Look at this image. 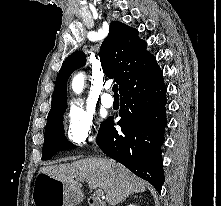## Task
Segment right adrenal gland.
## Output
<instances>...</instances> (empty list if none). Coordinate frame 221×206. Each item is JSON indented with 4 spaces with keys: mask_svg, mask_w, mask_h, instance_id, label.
<instances>
[{
    "mask_svg": "<svg viewBox=\"0 0 221 206\" xmlns=\"http://www.w3.org/2000/svg\"><path fill=\"white\" fill-rule=\"evenodd\" d=\"M125 200H126V198H125V199H123V200L121 201V203H122V202H124Z\"/></svg>",
    "mask_w": 221,
    "mask_h": 206,
    "instance_id": "obj_1",
    "label": "right adrenal gland"
}]
</instances>
